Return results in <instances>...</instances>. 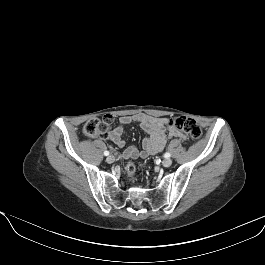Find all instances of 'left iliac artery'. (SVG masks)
Returning a JSON list of instances; mask_svg holds the SVG:
<instances>
[{
  "mask_svg": "<svg viewBox=\"0 0 265 265\" xmlns=\"http://www.w3.org/2000/svg\"><path fill=\"white\" fill-rule=\"evenodd\" d=\"M170 156H171V154L168 153V152L164 154V157H165V158H169Z\"/></svg>",
  "mask_w": 265,
  "mask_h": 265,
  "instance_id": "obj_1",
  "label": "left iliac artery"
}]
</instances>
